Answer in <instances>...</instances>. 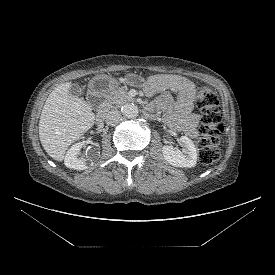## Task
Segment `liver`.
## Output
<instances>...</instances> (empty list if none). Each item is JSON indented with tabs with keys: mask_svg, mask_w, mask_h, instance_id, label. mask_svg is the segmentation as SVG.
<instances>
[{
	"mask_svg": "<svg viewBox=\"0 0 275 275\" xmlns=\"http://www.w3.org/2000/svg\"><path fill=\"white\" fill-rule=\"evenodd\" d=\"M71 85L60 84L49 94L39 120L41 144L56 161H63L67 148L95 123L90 104L70 95Z\"/></svg>",
	"mask_w": 275,
	"mask_h": 275,
	"instance_id": "1",
	"label": "liver"
}]
</instances>
